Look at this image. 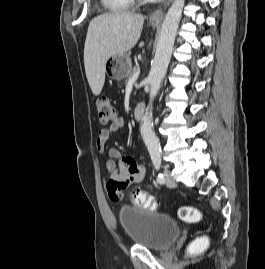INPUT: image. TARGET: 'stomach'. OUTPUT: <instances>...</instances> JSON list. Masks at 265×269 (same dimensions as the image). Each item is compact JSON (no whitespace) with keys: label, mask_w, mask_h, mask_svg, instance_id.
I'll return each mask as SVG.
<instances>
[{"label":"stomach","mask_w":265,"mask_h":269,"mask_svg":"<svg viewBox=\"0 0 265 269\" xmlns=\"http://www.w3.org/2000/svg\"><path fill=\"white\" fill-rule=\"evenodd\" d=\"M153 27H156V24H152ZM132 68L131 59L126 54L113 55L111 56L105 64L106 74L115 80H122L127 77Z\"/></svg>","instance_id":"0dacf381"}]
</instances>
